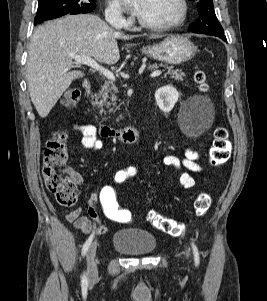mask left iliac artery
<instances>
[{
  "label": "left iliac artery",
  "instance_id": "obj_1",
  "mask_svg": "<svg viewBox=\"0 0 267 301\" xmlns=\"http://www.w3.org/2000/svg\"><path fill=\"white\" fill-rule=\"evenodd\" d=\"M192 248H193V254H194V260H195V264L199 265V253H198V249L196 247V245L194 244V242H191Z\"/></svg>",
  "mask_w": 267,
  "mask_h": 301
}]
</instances>
